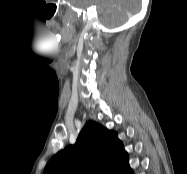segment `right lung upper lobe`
Masks as SVG:
<instances>
[{"label":"right lung upper lobe","mask_w":187,"mask_h":174,"mask_svg":"<svg viewBox=\"0 0 187 174\" xmlns=\"http://www.w3.org/2000/svg\"><path fill=\"white\" fill-rule=\"evenodd\" d=\"M128 155L116 132L87 122L75 145L58 152L44 174H130Z\"/></svg>","instance_id":"1"}]
</instances>
